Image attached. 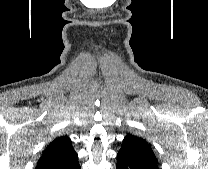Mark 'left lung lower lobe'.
<instances>
[{
	"mask_svg": "<svg viewBox=\"0 0 208 169\" xmlns=\"http://www.w3.org/2000/svg\"><path fill=\"white\" fill-rule=\"evenodd\" d=\"M117 169H149L133 155L119 151L117 154Z\"/></svg>",
	"mask_w": 208,
	"mask_h": 169,
	"instance_id": "obj_1",
	"label": "left lung lower lobe"
}]
</instances>
